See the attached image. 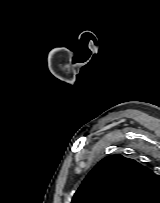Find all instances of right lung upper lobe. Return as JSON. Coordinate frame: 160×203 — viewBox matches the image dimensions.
<instances>
[{
  "label": "right lung upper lobe",
  "instance_id": "obj_1",
  "mask_svg": "<svg viewBox=\"0 0 160 203\" xmlns=\"http://www.w3.org/2000/svg\"><path fill=\"white\" fill-rule=\"evenodd\" d=\"M159 196L160 180L151 169L114 154L90 171L71 203H150Z\"/></svg>",
  "mask_w": 160,
  "mask_h": 203
}]
</instances>
